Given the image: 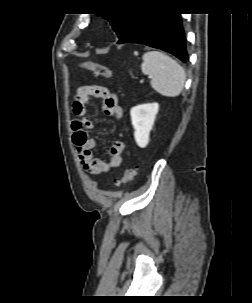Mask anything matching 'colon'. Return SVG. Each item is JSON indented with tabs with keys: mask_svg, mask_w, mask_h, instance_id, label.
I'll return each mask as SVG.
<instances>
[{
	"mask_svg": "<svg viewBox=\"0 0 252 303\" xmlns=\"http://www.w3.org/2000/svg\"><path fill=\"white\" fill-rule=\"evenodd\" d=\"M80 66L83 69L90 71L91 73H93L96 76H101V77H105V78L112 77L111 70L107 66L99 64L97 62L86 60V61L81 62ZM137 172H138V169L136 166L127 167L125 173L121 177L120 181L117 182V184L124 185V184L131 182L137 175Z\"/></svg>",
	"mask_w": 252,
	"mask_h": 303,
	"instance_id": "colon-1",
	"label": "colon"
}]
</instances>
